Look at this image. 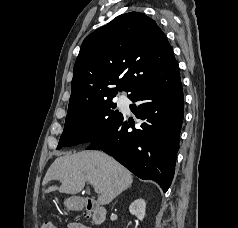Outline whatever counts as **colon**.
Segmentation results:
<instances>
[{
  "label": "colon",
  "mask_w": 238,
  "mask_h": 228,
  "mask_svg": "<svg viewBox=\"0 0 238 228\" xmlns=\"http://www.w3.org/2000/svg\"><path fill=\"white\" fill-rule=\"evenodd\" d=\"M86 216H89V213H86ZM40 228H57L56 225L49 221V220H43L40 224Z\"/></svg>",
  "instance_id": "1"
}]
</instances>
